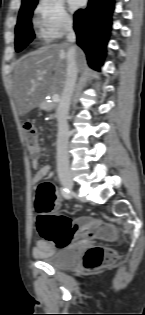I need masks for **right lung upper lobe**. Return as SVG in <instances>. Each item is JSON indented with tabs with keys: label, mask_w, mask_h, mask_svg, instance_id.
<instances>
[{
	"label": "right lung upper lobe",
	"mask_w": 145,
	"mask_h": 315,
	"mask_svg": "<svg viewBox=\"0 0 145 315\" xmlns=\"http://www.w3.org/2000/svg\"><path fill=\"white\" fill-rule=\"evenodd\" d=\"M32 1H35V0H23L22 1V5L28 4V3L32 2Z\"/></svg>",
	"instance_id": "right-lung-upper-lobe-1"
}]
</instances>
